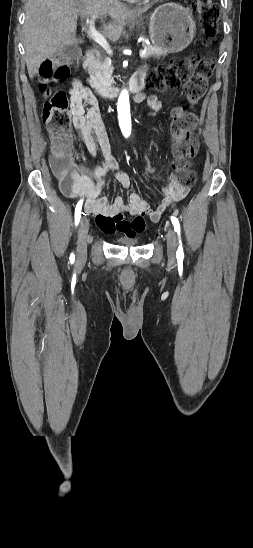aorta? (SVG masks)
<instances>
[{
    "instance_id": "762f6f07",
    "label": "aorta",
    "mask_w": 253,
    "mask_h": 548,
    "mask_svg": "<svg viewBox=\"0 0 253 548\" xmlns=\"http://www.w3.org/2000/svg\"><path fill=\"white\" fill-rule=\"evenodd\" d=\"M118 114L121 130L125 136H129L131 126L129 94L127 90H123L118 98Z\"/></svg>"
}]
</instances>
